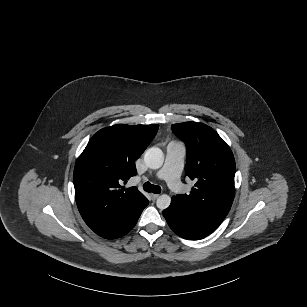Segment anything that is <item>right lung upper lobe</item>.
Segmentation results:
<instances>
[{"label": "right lung upper lobe", "mask_w": 307, "mask_h": 307, "mask_svg": "<svg viewBox=\"0 0 307 307\" xmlns=\"http://www.w3.org/2000/svg\"><path fill=\"white\" fill-rule=\"evenodd\" d=\"M158 125L117 124L93 135L74 168L75 199L92 229L122 217L145 196L121 184L135 176V161L155 137Z\"/></svg>", "instance_id": "obj_1"}]
</instances>
